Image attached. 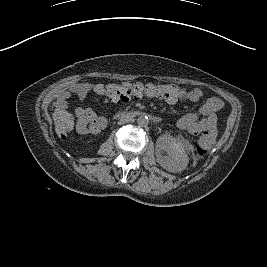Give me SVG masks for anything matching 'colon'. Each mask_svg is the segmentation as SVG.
I'll use <instances>...</instances> for the list:
<instances>
[{
    "label": "colon",
    "instance_id": "colon-1",
    "mask_svg": "<svg viewBox=\"0 0 267 267\" xmlns=\"http://www.w3.org/2000/svg\"><path fill=\"white\" fill-rule=\"evenodd\" d=\"M94 91L109 101L125 102L132 98L148 96L162 99L167 102H176L182 96V90L170 84H142V83H108L98 84ZM54 130L57 136L66 138L74 128V119L64 109L57 110L53 115ZM215 142V136L202 132L197 140L196 151L199 156L209 153Z\"/></svg>",
    "mask_w": 267,
    "mask_h": 267
}]
</instances>
